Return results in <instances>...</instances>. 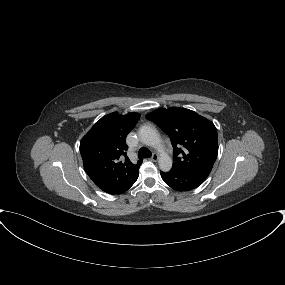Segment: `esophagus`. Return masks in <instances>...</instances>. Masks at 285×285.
<instances>
[{"mask_svg":"<svg viewBox=\"0 0 285 285\" xmlns=\"http://www.w3.org/2000/svg\"><path fill=\"white\" fill-rule=\"evenodd\" d=\"M150 160L152 161H157L158 160V156L156 154H153L150 158Z\"/></svg>","mask_w":285,"mask_h":285,"instance_id":"1","label":"esophagus"}]
</instances>
